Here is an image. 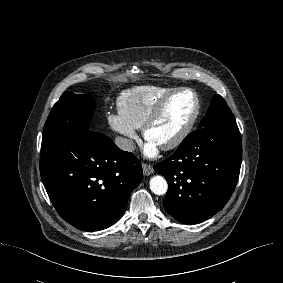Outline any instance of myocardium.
Wrapping results in <instances>:
<instances>
[{
    "label": "myocardium",
    "instance_id": "myocardium-1",
    "mask_svg": "<svg viewBox=\"0 0 283 283\" xmlns=\"http://www.w3.org/2000/svg\"><path fill=\"white\" fill-rule=\"evenodd\" d=\"M183 93H189L193 97L195 102L194 110L182 129L168 142L159 146L162 150H171L176 148L188 137V135L193 130L201 111V103L197 93L189 88H180L173 90L155 105L142 126L143 136L146 140H149V130L156 122V120L160 117L166 106L172 101L174 97Z\"/></svg>",
    "mask_w": 283,
    "mask_h": 283
}]
</instances>
